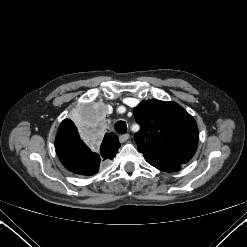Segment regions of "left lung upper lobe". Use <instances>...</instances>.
<instances>
[{
	"mask_svg": "<svg viewBox=\"0 0 247 247\" xmlns=\"http://www.w3.org/2000/svg\"><path fill=\"white\" fill-rule=\"evenodd\" d=\"M134 116L140 125L135 141L148 163L182 165L192 158L198 145V127L180 105L143 101L134 108Z\"/></svg>",
	"mask_w": 247,
	"mask_h": 247,
	"instance_id": "1",
	"label": "left lung upper lobe"
}]
</instances>
